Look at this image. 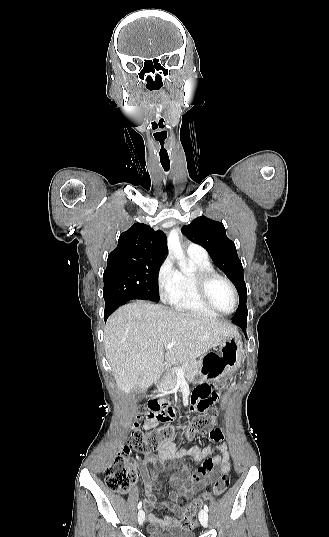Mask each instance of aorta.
Wrapping results in <instances>:
<instances>
[{"label":"aorta","mask_w":329,"mask_h":537,"mask_svg":"<svg viewBox=\"0 0 329 537\" xmlns=\"http://www.w3.org/2000/svg\"><path fill=\"white\" fill-rule=\"evenodd\" d=\"M168 250L173 253L174 256L179 259V266L183 271H188V266L185 261V256L180 244L179 236L176 230H172L168 236Z\"/></svg>","instance_id":"aorta-1"}]
</instances>
